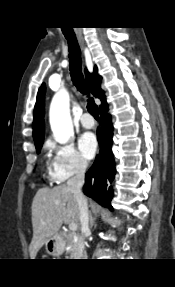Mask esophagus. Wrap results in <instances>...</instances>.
Returning a JSON list of instances; mask_svg holds the SVG:
<instances>
[{
	"label": "esophagus",
	"mask_w": 175,
	"mask_h": 287,
	"mask_svg": "<svg viewBox=\"0 0 175 287\" xmlns=\"http://www.w3.org/2000/svg\"><path fill=\"white\" fill-rule=\"evenodd\" d=\"M78 41H79V43H80V45H81V48L82 49H84V39L83 38H78Z\"/></svg>",
	"instance_id": "esophagus-1"
}]
</instances>
